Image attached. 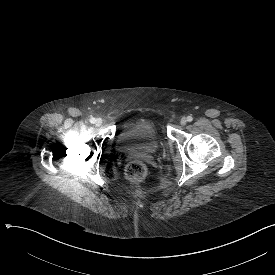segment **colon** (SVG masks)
I'll return each mask as SVG.
<instances>
[{"label": "colon", "instance_id": "colon-1", "mask_svg": "<svg viewBox=\"0 0 275 275\" xmlns=\"http://www.w3.org/2000/svg\"><path fill=\"white\" fill-rule=\"evenodd\" d=\"M126 174L132 180H141L147 175V167L143 162H130L126 167Z\"/></svg>", "mask_w": 275, "mask_h": 275}]
</instances>
